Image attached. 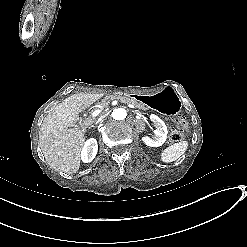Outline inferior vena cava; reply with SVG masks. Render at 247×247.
Returning a JSON list of instances; mask_svg holds the SVG:
<instances>
[{
	"mask_svg": "<svg viewBox=\"0 0 247 247\" xmlns=\"http://www.w3.org/2000/svg\"><path fill=\"white\" fill-rule=\"evenodd\" d=\"M105 116H101L97 121H96V124L102 122L104 120Z\"/></svg>",
	"mask_w": 247,
	"mask_h": 247,
	"instance_id": "inferior-vena-cava-1",
	"label": "inferior vena cava"
}]
</instances>
